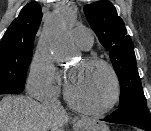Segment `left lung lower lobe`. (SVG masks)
<instances>
[{"label": "left lung lower lobe", "mask_w": 151, "mask_h": 131, "mask_svg": "<svg viewBox=\"0 0 151 131\" xmlns=\"http://www.w3.org/2000/svg\"><path fill=\"white\" fill-rule=\"evenodd\" d=\"M106 122L127 124L151 131V114L147 103L134 101L125 107L119 108L104 119Z\"/></svg>", "instance_id": "obj_1"}]
</instances>
